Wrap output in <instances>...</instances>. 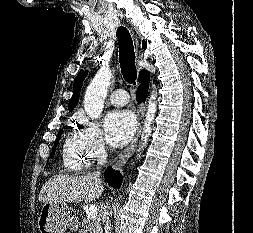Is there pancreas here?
<instances>
[{
	"label": "pancreas",
	"instance_id": "obj_1",
	"mask_svg": "<svg viewBox=\"0 0 253 233\" xmlns=\"http://www.w3.org/2000/svg\"><path fill=\"white\" fill-rule=\"evenodd\" d=\"M81 233H102L100 219H92L89 216L83 217Z\"/></svg>",
	"mask_w": 253,
	"mask_h": 233
}]
</instances>
